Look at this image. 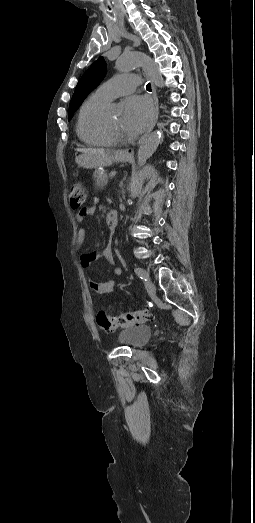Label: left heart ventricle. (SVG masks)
Returning a JSON list of instances; mask_svg holds the SVG:
<instances>
[{"instance_id":"1","label":"left heart ventricle","mask_w":255,"mask_h":523,"mask_svg":"<svg viewBox=\"0 0 255 523\" xmlns=\"http://www.w3.org/2000/svg\"><path fill=\"white\" fill-rule=\"evenodd\" d=\"M107 114L121 136L131 137V132L127 127L122 110L109 111Z\"/></svg>"}]
</instances>
